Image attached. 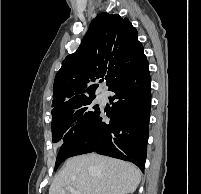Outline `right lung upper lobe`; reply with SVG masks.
I'll return each instance as SVG.
<instances>
[{
    "mask_svg": "<svg viewBox=\"0 0 201 194\" xmlns=\"http://www.w3.org/2000/svg\"><path fill=\"white\" fill-rule=\"evenodd\" d=\"M145 57L137 30L127 18L100 13L77 51L68 55L53 87L52 117L71 111L81 101L95 97L96 79L107 77L109 88L130 73Z\"/></svg>",
    "mask_w": 201,
    "mask_h": 194,
    "instance_id": "cb5924a9",
    "label": "right lung upper lobe"
}]
</instances>
